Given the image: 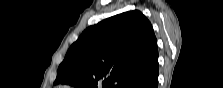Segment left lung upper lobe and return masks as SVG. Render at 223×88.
Returning a JSON list of instances; mask_svg holds the SVG:
<instances>
[{"label":"left lung upper lobe","mask_w":223,"mask_h":88,"mask_svg":"<svg viewBox=\"0 0 223 88\" xmlns=\"http://www.w3.org/2000/svg\"><path fill=\"white\" fill-rule=\"evenodd\" d=\"M157 60L151 23L140 11H128L88 27L69 48L54 84L129 88Z\"/></svg>","instance_id":"left-lung-upper-lobe-1"}]
</instances>
